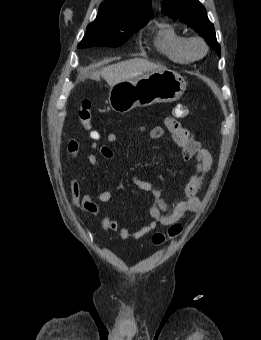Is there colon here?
<instances>
[{"label": "colon", "mask_w": 261, "mask_h": 340, "mask_svg": "<svg viewBox=\"0 0 261 340\" xmlns=\"http://www.w3.org/2000/svg\"><path fill=\"white\" fill-rule=\"evenodd\" d=\"M172 114L176 118H186L189 115V109L187 106L178 104L172 110ZM79 119L84 126V128L90 131V135L93 139H99L100 135L98 132L93 131L92 128V106L89 101L84 100L78 109ZM183 227L181 224L175 223L169 229L168 233L165 235L163 233H155L152 236V242L154 245H162L165 241L169 239L176 238L181 234Z\"/></svg>", "instance_id": "colon-1"}]
</instances>
